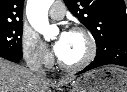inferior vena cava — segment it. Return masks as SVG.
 Segmentation results:
<instances>
[{
	"mask_svg": "<svg viewBox=\"0 0 127 92\" xmlns=\"http://www.w3.org/2000/svg\"><path fill=\"white\" fill-rule=\"evenodd\" d=\"M27 65L30 71L35 73L38 78H46V73L45 70L42 68V64L39 63L35 57L29 58L27 60Z\"/></svg>",
	"mask_w": 127,
	"mask_h": 92,
	"instance_id": "obj_1",
	"label": "inferior vena cava"
}]
</instances>
